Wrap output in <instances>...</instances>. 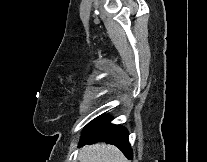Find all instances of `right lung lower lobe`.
<instances>
[{
    "instance_id": "98d812e1",
    "label": "right lung lower lobe",
    "mask_w": 207,
    "mask_h": 162,
    "mask_svg": "<svg viewBox=\"0 0 207 162\" xmlns=\"http://www.w3.org/2000/svg\"><path fill=\"white\" fill-rule=\"evenodd\" d=\"M111 120L110 116L102 115L90 122L83 131L80 146L99 141L110 142L132 160L133 153L128 141V131L122 126L112 124Z\"/></svg>"
}]
</instances>
